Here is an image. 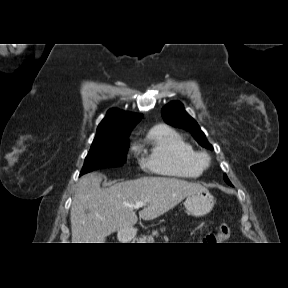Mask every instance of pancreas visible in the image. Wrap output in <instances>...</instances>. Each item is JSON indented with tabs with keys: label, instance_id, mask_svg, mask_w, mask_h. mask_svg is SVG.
Segmentation results:
<instances>
[{
	"label": "pancreas",
	"instance_id": "cf45deb5",
	"mask_svg": "<svg viewBox=\"0 0 288 288\" xmlns=\"http://www.w3.org/2000/svg\"><path fill=\"white\" fill-rule=\"evenodd\" d=\"M164 230L165 229H161V231H164ZM154 236H158V231H152V234L148 236L143 235L138 240L140 243L151 242L154 240Z\"/></svg>",
	"mask_w": 288,
	"mask_h": 288
}]
</instances>
